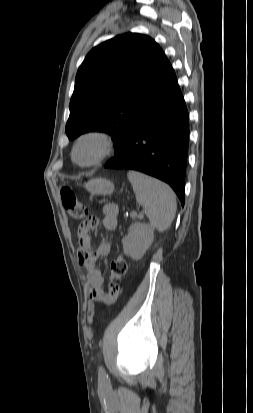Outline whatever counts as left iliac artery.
Wrapping results in <instances>:
<instances>
[{"label":"left iliac artery","mask_w":253,"mask_h":413,"mask_svg":"<svg viewBox=\"0 0 253 413\" xmlns=\"http://www.w3.org/2000/svg\"><path fill=\"white\" fill-rule=\"evenodd\" d=\"M98 374L101 379H107V374L102 366L99 367Z\"/></svg>","instance_id":"1"}]
</instances>
